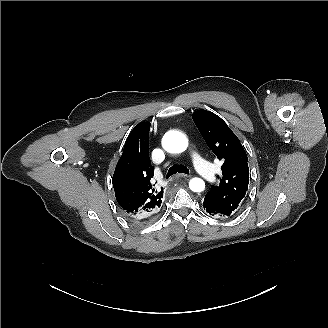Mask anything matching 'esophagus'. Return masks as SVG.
<instances>
[{
  "label": "esophagus",
  "instance_id": "1",
  "mask_svg": "<svg viewBox=\"0 0 328 328\" xmlns=\"http://www.w3.org/2000/svg\"><path fill=\"white\" fill-rule=\"evenodd\" d=\"M189 175L187 174H177L174 177L181 178V177H188Z\"/></svg>",
  "mask_w": 328,
  "mask_h": 328
}]
</instances>
